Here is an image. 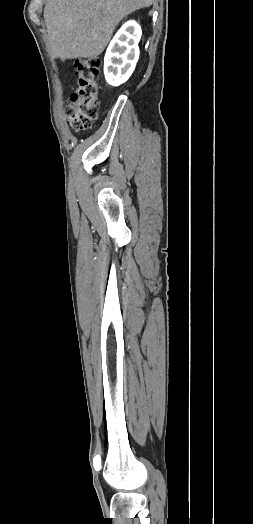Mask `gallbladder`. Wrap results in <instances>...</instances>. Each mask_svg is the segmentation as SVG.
I'll return each instance as SVG.
<instances>
[{"mask_svg":"<svg viewBox=\"0 0 253 524\" xmlns=\"http://www.w3.org/2000/svg\"><path fill=\"white\" fill-rule=\"evenodd\" d=\"M61 60H62V61H64V60H65V58L61 57Z\"/></svg>","mask_w":253,"mask_h":524,"instance_id":"gallbladder-1","label":"gallbladder"}]
</instances>
